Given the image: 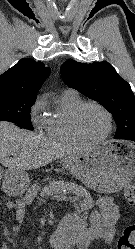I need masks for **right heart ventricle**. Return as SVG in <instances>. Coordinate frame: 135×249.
<instances>
[{
  "instance_id": "1",
  "label": "right heart ventricle",
  "mask_w": 135,
  "mask_h": 249,
  "mask_svg": "<svg viewBox=\"0 0 135 249\" xmlns=\"http://www.w3.org/2000/svg\"><path fill=\"white\" fill-rule=\"evenodd\" d=\"M80 96L73 91H66L55 100L53 112L45 119V135L65 145L83 144L74 135L71 128V116L82 104Z\"/></svg>"
}]
</instances>
